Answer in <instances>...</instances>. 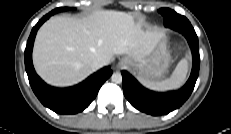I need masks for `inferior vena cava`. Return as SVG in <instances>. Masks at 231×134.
<instances>
[{"instance_id": "1", "label": "inferior vena cava", "mask_w": 231, "mask_h": 134, "mask_svg": "<svg viewBox=\"0 0 231 134\" xmlns=\"http://www.w3.org/2000/svg\"><path fill=\"white\" fill-rule=\"evenodd\" d=\"M102 66H104V63L102 61H100V60H96L92 64V68L94 70H97V69L101 68Z\"/></svg>"}]
</instances>
